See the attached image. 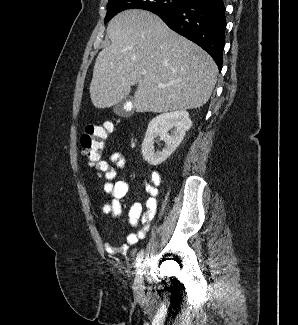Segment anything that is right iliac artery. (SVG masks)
<instances>
[{
    "label": "right iliac artery",
    "instance_id": "1",
    "mask_svg": "<svg viewBox=\"0 0 298 325\" xmlns=\"http://www.w3.org/2000/svg\"><path fill=\"white\" fill-rule=\"evenodd\" d=\"M143 254H144V251L141 250L137 255L136 263H135V267H136L137 272L139 270V267L141 266V262H142V259H143Z\"/></svg>",
    "mask_w": 298,
    "mask_h": 325
}]
</instances>
